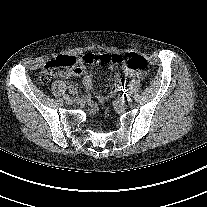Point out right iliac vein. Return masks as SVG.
<instances>
[{
  "label": "right iliac vein",
  "instance_id": "1",
  "mask_svg": "<svg viewBox=\"0 0 207 207\" xmlns=\"http://www.w3.org/2000/svg\"><path fill=\"white\" fill-rule=\"evenodd\" d=\"M66 102L67 104L72 105L75 102V100L74 98H69Z\"/></svg>",
  "mask_w": 207,
  "mask_h": 207
}]
</instances>
